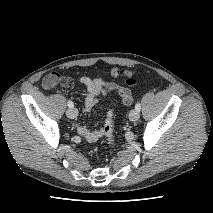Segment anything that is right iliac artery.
<instances>
[{"mask_svg":"<svg viewBox=\"0 0 213 213\" xmlns=\"http://www.w3.org/2000/svg\"><path fill=\"white\" fill-rule=\"evenodd\" d=\"M68 107H69V108H73V107H74L73 102H72V101H70V100L68 101Z\"/></svg>","mask_w":213,"mask_h":213,"instance_id":"1","label":"right iliac artery"}]
</instances>
